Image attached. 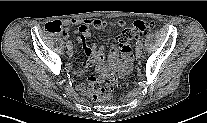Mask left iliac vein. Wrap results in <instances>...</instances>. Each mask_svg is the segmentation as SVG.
<instances>
[{"label":"left iliac vein","instance_id":"4c4485c4","mask_svg":"<svg viewBox=\"0 0 207 123\" xmlns=\"http://www.w3.org/2000/svg\"><path fill=\"white\" fill-rule=\"evenodd\" d=\"M136 56L140 58L142 56V47L137 45L136 47Z\"/></svg>","mask_w":207,"mask_h":123}]
</instances>
